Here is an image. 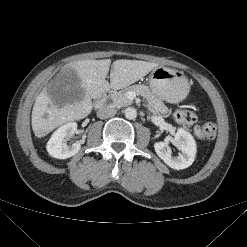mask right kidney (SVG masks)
Returning <instances> with one entry per match:
<instances>
[{
  "instance_id": "right-kidney-1",
  "label": "right kidney",
  "mask_w": 247,
  "mask_h": 247,
  "mask_svg": "<svg viewBox=\"0 0 247 247\" xmlns=\"http://www.w3.org/2000/svg\"><path fill=\"white\" fill-rule=\"evenodd\" d=\"M76 129L77 124L75 122L67 123L57 129L47 143L48 153L57 159H66L76 155L81 148L80 143L75 142L69 146L65 143V138L71 137Z\"/></svg>"
}]
</instances>
